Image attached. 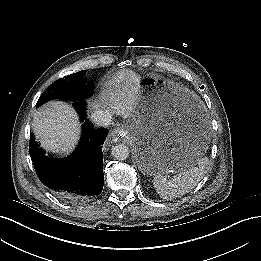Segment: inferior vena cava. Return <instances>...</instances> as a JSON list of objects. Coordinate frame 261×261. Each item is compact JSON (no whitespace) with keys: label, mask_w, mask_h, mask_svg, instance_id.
Masks as SVG:
<instances>
[{"label":"inferior vena cava","mask_w":261,"mask_h":261,"mask_svg":"<svg viewBox=\"0 0 261 261\" xmlns=\"http://www.w3.org/2000/svg\"><path fill=\"white\" fill-rule=\"evenodd\" d=\"M91 119L97 126H108L112 121V112L108 109H97L92 113Z\"/></svg>","instance_id":"obj_1"}]
</instances>
